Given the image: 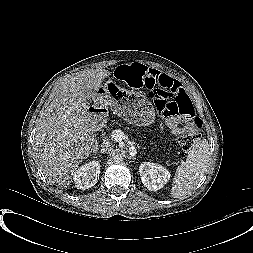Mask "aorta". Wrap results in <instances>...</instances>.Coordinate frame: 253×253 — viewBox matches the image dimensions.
<instances>
[{
    "mask_svg": "<svg viewBox=\"0 0 253 253\" xmlns=\"http://www.w3.org/2000/svg\"><path fill=\"white\" fill-rule=\"evenodd\" d=\"M114 161H115L116 163L122 162V161H123V156H122L121 154L115 155V156H114Z\"/></svg>",
    "mask_w": 253,
    "mask_h": 253,
    "instance_id": "1",
    "label": "aorta"
}]
</instances>
